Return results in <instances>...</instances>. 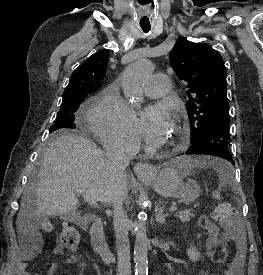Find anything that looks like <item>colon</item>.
Masks as SVG:
<instances>
[{"label":"colon","instance_id":"5ec220e1","mask_svg":"<svg viewBox=\"0 0 263 275\" xmlns=\"http://www.w3.org/2000/svg\"><path fill=\"white\" fill-rule=\"evenodd\" d=\"M213 218L218 223L231 227L233 225V210L228 204H220L213 213ZM60 240L63 246L69 250H76L80 242L79 231L70 225H64L61 233ZM204 273L203 275H208ZM225 275H241V267L239 264L230 266L226 269Z\"/></svg>","mask_w":263,"mask_h":275}]
</instances>
